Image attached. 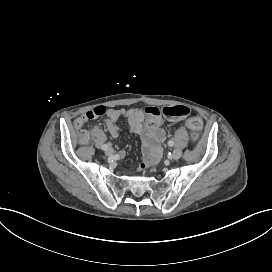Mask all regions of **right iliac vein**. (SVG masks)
I'll return each mask as SVG.
<instances>
[{
	"instance_id": "1",
	"label": "right iliac vein",
	"mask_w": 272,
	"mask_h": 272,
	"mask_svg": "<svg viewBox=\"0 0 272 272\" xmlns=\"http://www.w3.org/2000/svg\"><path fill=\"white\" fill-rule=\"evenodd\" d=\"M106 156H112L114 154V150L112 148H108L105 150Z\"/></svg>"
}]
</instances>
